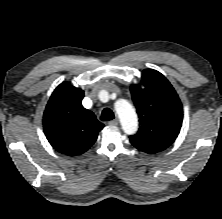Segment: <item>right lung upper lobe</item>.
Instances as JSON below:
<instances>
[{"instance_id":"1","label":"right lung upper lobe","mask_w":222,"mask_h":219,"mask_svg":"<svg viewBox=\"0 0 222 219\" xmlns=\"http://www.w3.org/2000/svg\"><path fill=\"white\" fill-rule=\"evenodd\" d=\"M84 91L61 83L53 92L43 115V128L52 147L62 154L76 156L96 141L104 124L82 106Z\"/></svg>"}]
</instances>
